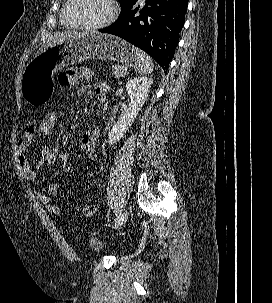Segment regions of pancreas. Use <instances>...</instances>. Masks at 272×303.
I'll return each mask as SVG.
<instances>
[{
	"instance_id": "cf45deb5",
	"label": "pancreas",
	"mask_w": 272,
	"mask_h": 303,
	"mask_svg": "<svg viewBox=\"0 0 272 303\" xmlns=\"http://www.w3.org/2000/svg\"><path fill=\"white\" fill-rule=\"evenodd\" d=\"M123 66L121 65H113L112 66V72H113V75L116 77V78H121V77H124L126 74H128L127 71L123 70Z\"/></svg>"
}]
</instances>
